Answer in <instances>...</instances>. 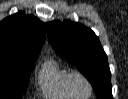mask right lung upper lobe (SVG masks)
<instances>
[{
    "instance_id": "1",
    "label": "right lung upper lobe",
    "mask_w": 128,
    "mask_h": 99,
    "mask_svg": "<svg viewBox=\"0 0 128 99\" xmlns=\"http://www.w3.org/2000/svg\"><path fill=\"white\" fill-rule=\"evenodd\" d=\"M45 40V24L24 12L0 22V55L38 56Z\"/></svg>"
}]
</instances>
